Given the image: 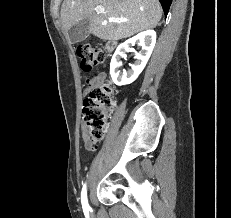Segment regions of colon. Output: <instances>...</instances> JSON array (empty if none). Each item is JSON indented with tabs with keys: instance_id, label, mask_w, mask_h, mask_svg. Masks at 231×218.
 <instances>
[{
	"instance_id": "5ec220e1",
	"label": "colon",
	"mask_w": 231,
	"mask_h": 218,
	"mask_svg": "<svg viewBox=\"0 0 231 218\" xmlns=\"http://www.w3.org/2000/svg\"><path fill=\"white\" fill-rule=\"evenodd\" d=\"M83 71H91L106 62L107 53L104 49L91 44H80L76 48ZM113 88L110 83H100L93 87L89 97L85 99L82 114L90 140L98 143L106 133L107 118L115 106Z\"/></svg>"
}]
</instances>
